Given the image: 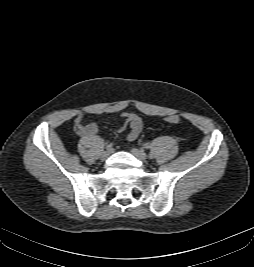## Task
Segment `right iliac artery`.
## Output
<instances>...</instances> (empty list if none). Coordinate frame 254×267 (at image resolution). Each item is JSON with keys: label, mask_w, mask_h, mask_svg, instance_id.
Returning <instances> with one entry per match:
<instances>
[{"label": "right iliac artery", "mask_w": 254, "mask_h": 267, "mask_svg": "<svg viewBox=\"0 0 254 267\" xmlns=\"http://www.w3.org/2000/svg\"><path fill=\"white\" fill-rule=\"evenodd\" d=\"M112 147H113L112 144H108V145L106 146V148H107L108 150L112 149Z\"/></svg>", "instance_id": "right-iliac-artery-1"}]
</instances>
